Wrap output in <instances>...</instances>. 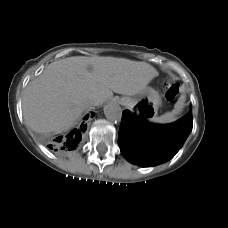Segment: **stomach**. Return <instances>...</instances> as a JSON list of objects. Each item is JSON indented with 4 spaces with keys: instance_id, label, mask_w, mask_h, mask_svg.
Returning a JSON list of instances; mask_svg holds the SVG:
<instances>
[{
    "instance_id": "1",
    "label": "stomach",
    "mask_w": 228,
    "mask_h": 228,
    "mask_svg": "<svg viewBox=\"0 0 228 228\" xmlns=\"http://www.w3.org/2000/svg\"><path fill=\"white\" fill-rule=\"evenodd\" d=\"M123 102L128 104H137L140 105V110L138 114L143 115L149 120H153L158 112V108L161 104V98L156 90L151 87H146L141 93L138 100H125Z\"/></svg>"
}]
</instances>
